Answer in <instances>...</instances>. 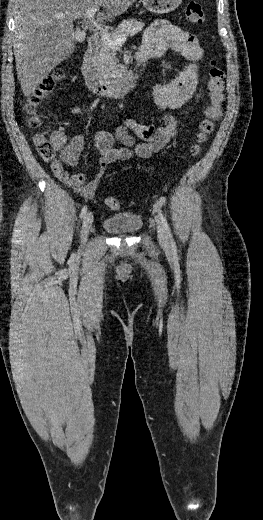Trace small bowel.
<instances>
[{
  "mask_svg": "<svg viewBox=\"0 0 263 520\" xmlns=\"http://www.w3.org/2000/svg\"><path fill=\"white\" fill-rule=\"evenodd\" d=\"M168 50L180 53L189 64L176 78L167 83L156 84L153 88V97L159 109L177 110L190 100L197 88L198 63L204 52L194 33L172 25L166 20H157L145 31L139 51L151 58L158 57ZM177 128L178 120L170 113L163 114L159 124H141L127 119L115 131V137L126 146L119 149L113 147L115 138L111 133L98 131L94 143L99 153V172L92 179L84 173L70 174L67 170L79 164V156L85 145L84 135L76 134L68 140L63 132L54 131L51 139L56 144L59 156L51 162L50 167L54 175L75 193L84 199H92L104 171L110 164L126 161L134 156L150 157L175 137ZM130 131L144 142L136 143Z\"/></svg>",
  "mask_w": 263,
  "mask_h": 520,
  "instance_id": "small-bowel-1",
  "label": "small bowel"
}]
</instances>
